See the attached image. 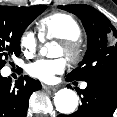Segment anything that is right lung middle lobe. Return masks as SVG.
Instances as JSON below:
<instances>
[{
	"label": "right lung middle lobe",
	"instance_id": "dd1d6c3e",
	"mask_svg": "<svg viewBox=\"0 0 117 117\" xmlns=\"http://www.w3.org/2000/svg\"><path fill=\"white\" fill-rule=\"evenodd\" d=\"M46 8L45 5L0 6V69L13 55H20V39L24 30Z\"/></svg>",
	"mask_w": 117,
	"mask_h": 117
}]
</instances>
